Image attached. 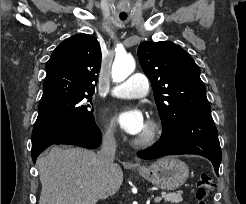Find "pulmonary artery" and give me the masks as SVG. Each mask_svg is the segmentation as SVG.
<instances>
[{
	"label": "pulmonary artery",
	"instance_id": "1",
	"mask_svg": "<svg viewBox=\"0 0 246 204\" xmlns=\"http://www.w3.org/2000/svg\"><path fill=\"white\" fill-rule=\"evenodd\" d=\"M149 91L148 78L141 73L131 75L126 81L115 86L111 93L112 95L124 98H139L145 96Z\"/></svg>",
	"mask_w": 246,
	"mask_h": 204
}]
</instances>
